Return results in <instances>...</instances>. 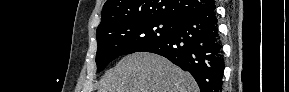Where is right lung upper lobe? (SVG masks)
<instances>
[{
  "label": "right lung upper lobe",
  "instance_id": "obj_1",
  "mask_svg": "<svg viewBox=\"0 0 289 92\" xmlns=\"http://www.w3.org/2000/svg\"><path fill=\"white\" fill-rule=\"evenodd\" d=\"M212 5L213 0H107L97 31L134 19L158 18L175 22Z\"/></svg>",
  "mask_w": 289,
  "mask_h": 92
}]
</instances>
